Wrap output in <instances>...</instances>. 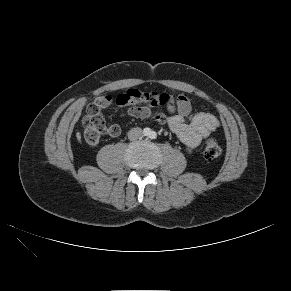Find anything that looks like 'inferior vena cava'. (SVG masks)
<instances>
[{
  "instance_id": "obj_1",
  "label": "inferior vena cava",
  "mask_w": 291,
  "mask_h": 291,
  "mask_svg": "<svg viewBox=\"0 0 291 291\" xmlns=\"http://www.w3.org/2000/svg\"><path fill=\"white\" fill-rule=\"evenodd\" d=\"M142 136H143L142 129L139 128V127L132 128V129L128 132V138H129L131 141H135V140H137V139H140Z\"/></svg>"
}]
</instances>
